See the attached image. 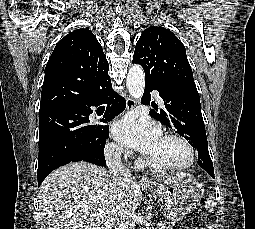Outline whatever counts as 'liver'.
Here are the masks:
<instances>
[{
  "mask_svg": "<svg viewBox=\"0 0 255 229\" xmlns=\"http://www.w3.org/2000/svg\"><path fill=\"white\" fill-rule=\"evenodd\" d=\"M38 200L48 229H111L135 212L142 192L134 178L119 180L105 168L81 161L49 174Z\"/></svg>",
  "mask_w": 255,
  "mask_h": 229,
  "instance_id": "liver-1",
  "label": "liver"
}]
</instances>
